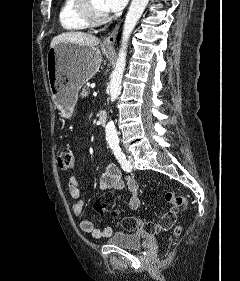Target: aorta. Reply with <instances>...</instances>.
<instances>
[{"label": "aorta", "mask_w": 240, "mask_h": 281, "mask_svg": "<svg viewBox=\"0 0 240 281\" xmlns=\"http://www.w3.org/2000/svg\"><path fill=\"white\" fill-rule=\"evenodd\" d=\"M148 2L149 0H132L130 4L128 13L124 21L118 59L116 62L115 69L111 74V81H110L111 101H115L120 95L122 77L126 66L128 40L137 22L142 16ZM105 134L108 143H115L118 141L117 131L113 121H109L106 124Z\"/></svg>", "instance_id": "1"}]
</instances>
